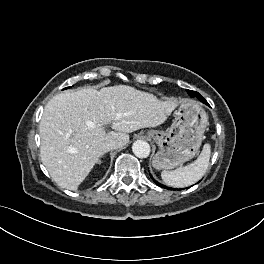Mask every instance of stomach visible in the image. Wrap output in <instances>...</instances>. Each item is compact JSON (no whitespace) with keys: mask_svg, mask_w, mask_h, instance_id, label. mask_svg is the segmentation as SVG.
Returning a JSON list of instances; mask_svg holds the SVG:
<instances>
[{"mask_svg":"<svg viewBox=\"0 0 264 264\" xmlns=\"http://www.w3.org/2000/svg\"><path fill=\"white\" fill-rule=\"evenodd\" d=\"M175 114L167 131L147 132L159 147L152 162L158 170H170L192 159L201 146L208 124L206 112L193 100L182 101Z\"/></svg>","mask_w":264,"mask_h":264,"instance_id":"1","label":"stomach"}]
</instances>
